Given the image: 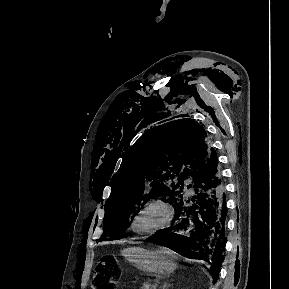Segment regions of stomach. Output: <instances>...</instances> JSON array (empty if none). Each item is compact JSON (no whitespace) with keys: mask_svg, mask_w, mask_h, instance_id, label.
I'll return each instance as SVG.
<instances>
[{"mask_svg":"<svg viewBox=\"0 0 289 289\" xmlns=\"http://www.w3.org/2000/svg\"><path fill=\"white\" fill-rule=\"evenodd\" d=\"M122 254L136 268L148 274L167 275L176 268L172 253L166 248L151 251L134 246L124 249Z\"/></svg>","mask_w":289,"mask_h":289,"instance_id":"0dacf381","label":"stomach"}]
</instances>
